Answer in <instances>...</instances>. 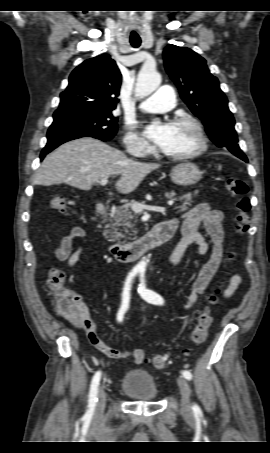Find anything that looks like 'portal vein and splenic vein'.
Listing matches in <instances>:
<instances>
[{
  "instance_id": "obj_1",
  "label": "portal vein and splenic vein",
  "mask_w": 270,
  "mask_h": 453,
  "mask_svg": "<svg viewBox=\"0 0 270 453\" xmlns=\"http://www.w3.org/2000/svg\"><path fill=\"white\" fill-rule=\"evenodd\" d=\"M107 182H108V178H103V179L100 180V184L102 186H105L107 184ZM168 204L172 205L173 201H168ZM131 208H132V210L135 213H140L143 210H150V211H156V212H164L166 210L165 207L149 206V205L140 204V203H137V202L133 203Z\"/></svg>"
}]
</instances>
